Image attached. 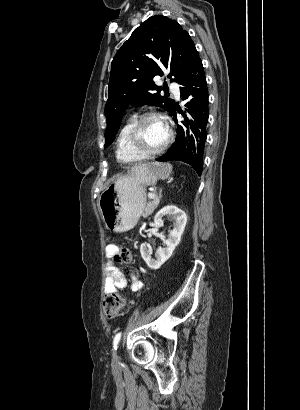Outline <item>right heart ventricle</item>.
Instances as JSON below:
<instances>
[{
	"mask_svg": "<svg viewBox=\"0 0 300 410\" xmlns=\"http://www.w3.org/2000/svg\"><path fill=\"white\" fill-rule=\"evenodd\" d=\"M135 120L136 116L131 115L120 128L116 138V157L124 163H137L145 159V157L135 152L128 142V132Z\"/></svg>",
	"mask_w": 300,
	"mask_h": 410,
	"instance_id": "obj_1",
	"label": "right heart ventricle"
}]
</instances>
